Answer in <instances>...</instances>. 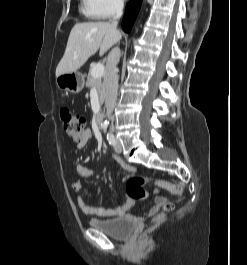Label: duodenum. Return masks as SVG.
Returning <instances> with one entry per match:
<instances>
[{"mask_svg": "<svg viewBox=\"0 0 247 265\" xmlns=\"http://www.w3.org/2000/svg\"><path fill=\"white\" fill-rule=\"evenodd\" d=\"M96 125L98 127H102L103 125V115L99 114L97 117H96Z\"/></svg>", "mask_w": 247, "mask_h": 265, "instance_id": "410a0bca", "label": "duodenum"}]
</instances>
